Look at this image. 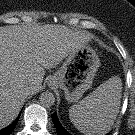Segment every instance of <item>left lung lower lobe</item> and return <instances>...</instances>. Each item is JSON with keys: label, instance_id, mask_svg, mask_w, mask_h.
I'll return each instance as SVG.
<instances>
[{"label": "left lung lower lobe", "instance_id": "0a47b994", "mask_svg": "<svg viewBox=\"0 0 135 135\" xmlns=\"http://www.w3.org/2000/svg\"><path fill=\"white\" fill-rule=\"evenodd\" d=\"M52 120H53V123L55 125V128L57 130L58 135H71L68 132H66L64 130V128L60 125V123H59V121L57 119L56 114H52Z\"/></svg>", "mask_w": 135, "mask_h": 135}]
</instances>
